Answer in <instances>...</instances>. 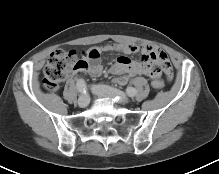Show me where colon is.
Here are the masks:
<instances>
[{"instance_id": "colon-1", "label": "colon", "mask_w": 219, "mask_h": 174, "mask_svg": "<svg viewBox=\"0 0 219 174\" xmlns=\"http://www.w3.org/2000/svg\"><path fill=\"white\" fill-rule=\"evenodd\" d=\"M85 55L91 57L99 56L97 50H91ZM81 64V60L77 59V54L74 51L57 50L53 52L43 71V85L49 91H55L59 88L62 81L70 72L76 70ZM154 90L159 91L164 88V81L156 79L152 82Z\"/></svg>"}]
</instances>
